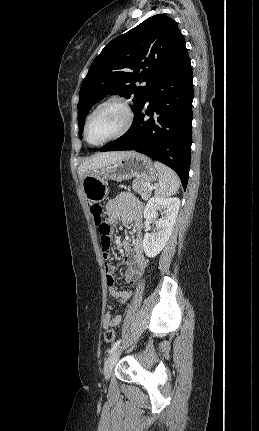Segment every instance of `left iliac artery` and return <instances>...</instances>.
Segmentation results:
<instances>
[{"label":"left iliac artery","mask_w":259,"mask_h":431,"mask_svg":"<svg viewBox=\"0 0 259 431\" xmlns=\"http://www.w3.org/2000/svg\"><path fill=\"white\" fill-rule=\"evenodd\" d=\"M120 342H121V339L117 340V341L112 345V347L109 349L108 353H109V354H112V353L117 349V347L119 346Z\"/></svg>","instance_id":"obj_1"}]
</instances>
